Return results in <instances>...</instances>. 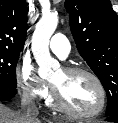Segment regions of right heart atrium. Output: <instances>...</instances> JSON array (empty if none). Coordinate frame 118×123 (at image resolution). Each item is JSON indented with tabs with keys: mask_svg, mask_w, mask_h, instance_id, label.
Returning <instances> with one entry per match:
<instances>
[{
	"mask_svg": "<svg viewBox=\"0 0 118 123\" xmlns=\"http://www.w3.org/2000/svg\"><path fill=\"white\" fill-rule=\"evenodd\" d=\"M16 82L21 96L30 102L45 99L49 94L47 83L37 75L28 61H23L17 68Z\"/></svg>",
	"mask_w": 118,
	"mask_h": 123,
	"instance_id": "obj_1",
	"label": "right heart atrium"
}]
</instances>
